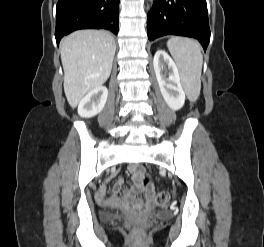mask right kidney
I'll list each match as a JSON object with an SVG mask.
<instances>
[{
  "label": "right kidney",
  "instance_id": "right-kidney-1",
  "mask_svg": "<svg viewBox=\"0 0 264 247\" xmlns=\"http://www.w3.org/2000/svg\"><path fill=\"white\" fill-rule=\"evenodd\" d=\"M108 90L100 86L85 95L78 105V114L84 118H91L100 113L107 101Z\"/></svg>",
  "mask_w": 264,
  "mask_h": 247
}]
</instances>
